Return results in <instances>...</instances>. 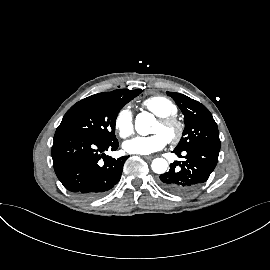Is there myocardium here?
I'll return each instance as SVG.
<instances>
[{"instance_id": "myocardium-1", "label": "myocardium", "mask_w": 270, "mask_h": 270, "mask_svg": "<svg viewBox=\"0 0 270 270\" xmlns=\"http://www.w3.org/2000/svg\"><path fill=\"white\" fill-rule=\"evenodd\" d=\"M158 122L165 128H173L174 134L168 139L171 144H177L180 142L184 135L185 125L175 115L159 117Z\"/></svg>"}]
</instances>
